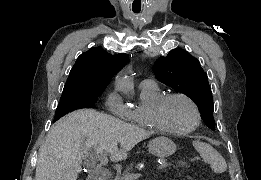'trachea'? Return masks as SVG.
Masks as SVG:
<instances>
[{
	"instance_id": "3493384b",
	"label": "trachea",
	"mask_w": 261,
	"mask_h": 180,
	"mask_svg": "<svg viewBox=\"0 0 261 180\" xmlns=\"http://www.w3.org/2000/svg\"><path fill=\"white\" fill-rule=\"evenodd\" d=\"M134 13H139L138 11H135Z\"/></svg>"
}]
</instances>
